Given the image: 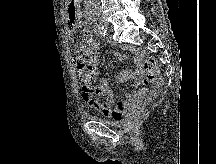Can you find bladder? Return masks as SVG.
Returning a JSON list of instances; mask_svg holds the SVG:
<instances>
[{
	"mask_svg": "<svg viewBox=\"0 0 216 164\" xmlns=\"http://www.w3.org/2000/svg\"><path fill=\"white\" fill-rule=\"evenodd\" d=\"M97 121L107 124V125H112V126H120L123 125L125 123V121H117V120H106L103 118H95Z\"/></svg>",
	"mask_w": 216,
	"mask_h": 164,
	"instance_id": "31cf9c89",
	"label": "bladder"
}]
</instances>
